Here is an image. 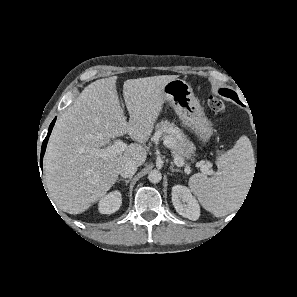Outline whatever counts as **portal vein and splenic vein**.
Wrapping results in <instances>:
<instances>
[{"instance_id":"obj_1","label":"portal vein and splenic vein","mask_w":297,"mask_h":297,"mask_svg":"<svg viewBox=\"0 0 297 297\" xmlns=\"http://www.w3.org/2000/svg\"><path fill=\"white\" fill-rule=\"evenodd\" d=\"M163 144L167 147L170 148L171 142L167 139L163 140ZM126 149V144L122 140H118L115 142L112 146H109L105 149H95L94 153L101 157L102 159H107L109 157H112L117 154H121L125 151ZM175 162L177 164H180L183 166L185 164V161L182 157H176ZM197 166L201 168L202 172L206 174H210L212 171L210 170L211 164L210 163H197ZM185 172L189 174L191 172L190 166L186 165Z\"/></svg>"}]
</instances>
